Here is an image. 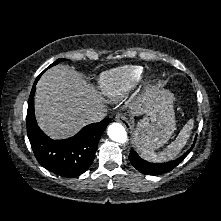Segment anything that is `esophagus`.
<instances>
[{"label":"esophagus","instance_id":"34e87169","mask_svg":"<svg viewBox=\"0 0 221 221\" xmlns=\"http://www.w3.org/2000/svg\"><path fill=\"white\" fill-rule=\"evenodd\" d=\"M115 120L122 123L124 126H129L130 125L129 121L122 114H117L116 117H115Z\"/></svg>","mask_w":221,"mask_h":221}]
</instances>
